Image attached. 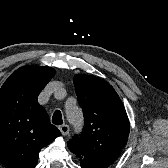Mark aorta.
<instances>
[{"mask_svg": "<svg viewBox=\"0 0 168 168\" xmlns=\"http://www.w3.org/2000/svg\"><path fill=\"white\" fill-rule=\"evenodd\" d=\"M66 115L71 124L79 126L82 123V114L78 107L72 106L67 108Z\"/></svg>", "mask_w": 168, "mask_h": 168, "instance_id": "762f6f07", "label": "aorta"}]
</instances>
